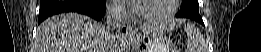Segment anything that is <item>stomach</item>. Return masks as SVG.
Wrapping results in <instances>:
<instances>
[{"instance_id": "stomach-1", "label": "stomach", "mask_w": 261, "mask_h": 52, "mask_svg": "<svg viewBox=\"0 0 261 52\" xmlns=\"http://www.w3.org/2000/svg\"><path fill=\"white\" fill-rule=\"evenodd\" d=\"M130 44L137 52H171L167 40L152 28H144L130 39Z\"/></svg>"}]
</instances>
